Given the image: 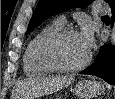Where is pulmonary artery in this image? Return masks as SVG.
<instances>
[{
  "label": "pulmonary artery",
  "instance_id": "obj_1",
  "mask_svg": "<svg viewBox=\"0 0 115 99\" xmlns=\"http://www.w3.org/2000/svg\"><path fill=\"white\" fill-rule=\"evenodd\" d=\"M95 12L96 13H99V14H104V13H108L110 12L109 8L107 6H104L103 4L101 3H97L95 5ZM64 21L65 19L63 17H60L58 20H57V23L59 24H64Z\"/></svg>",
  "mask_w": 115,
  "mask_h": 99
}]
</instances>
